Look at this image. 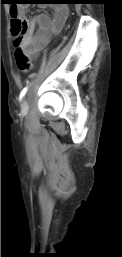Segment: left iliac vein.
<instances>
[{"label": "left iliac vein", "instance_id": "left-iliac-vein-1", "mask_svg": "<svg viewBox=\"0 0 122 257\" xmlns=\"http://www.w3.org/2000/svg\"><path fill=\"white\" fill-rule=\"evenodd\" d=\"M28 109H29V104H28V101L25 99L22 102V108H21L22 113L27 114Z\"/></svg>", "mask_w": 122, "mask_h": 257}]
</instances>
